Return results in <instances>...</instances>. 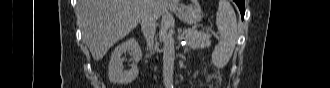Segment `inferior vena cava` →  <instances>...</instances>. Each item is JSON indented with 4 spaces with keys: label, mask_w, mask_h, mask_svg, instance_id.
Returning a JSON list of instances; mask_svg holds the SVG:
<instances>
[{
    "label": "inferior vena cava",
    "mask_w": 330,
    "mask_h": 88,
    "mask_svg": "<svg viewBox=\"0 0 330 88\" xmlns=\"http://www.w3.org/2000/svg\"><path fill=\"white\" fill-rule=\"evenodd\" d=\"M156 0H147V7L141 14V29L146 39L148 47L151 49L154 44V36L157 26V11L155 8Z\"/></svg>",
    "instance_id": "602c4592"
}]
</instances>
